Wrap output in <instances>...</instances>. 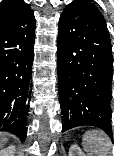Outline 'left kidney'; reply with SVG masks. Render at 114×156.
<instances>
[{
    "label": "left kidney",
    "mask_w": 114,
    "mask_h": 156,
    "mask_svg": "<svg viewBox=\"0 0 114 156\" xmlns=\"http://www.w3.org/2000/svg\"><path fill=\"white\" fill-rule=\"evenodd\" d=\"M69 156H85L77 144H73L69 149Z\"/></svg>",
    "instance_id": "1"
}]
</instances>
